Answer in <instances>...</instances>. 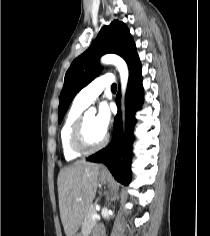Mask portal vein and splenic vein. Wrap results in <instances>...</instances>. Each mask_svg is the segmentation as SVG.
Segmentation results:
<instances>
[{
	"instance_id": "18ae733b",
	"label": "portal vein and splenic vein",
	"mask_w": 210,
	"mask_h": 236,
	"mask_svg": "<svg viewBox=\"0 0 210 236\" xmlns=\"http://www.w3.org/2000/svg\"><path fill=\"white\" fill-rule=\"evenodd\" d=\"M92 219H94V220H97V219H100V215L99 214H93L92 215Z\"/></svg>"
}]
</instances>
